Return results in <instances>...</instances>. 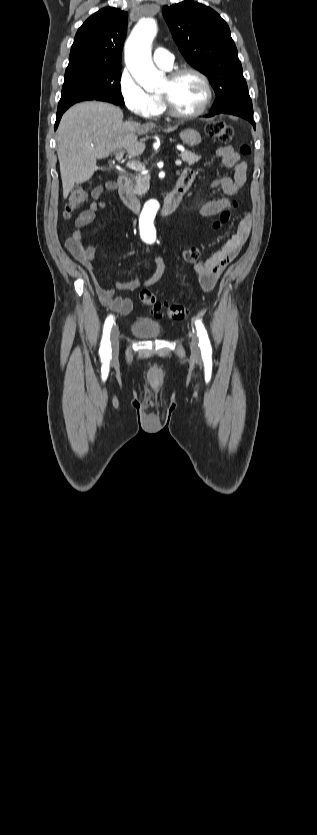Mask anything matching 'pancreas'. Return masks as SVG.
Here are the masks:
<instances>
[{
    "instance_id": "obj_1",
    "label": "pancreas",
    "mask_w": 317,
    "mask_h": 835,
    "mask_svg": "<svg viewBox=\"0 0 317 835\" xmlns=\"http://www.w3.org/2000/svg\"><path fill=\"white\" fill-rule=\"evenodd\" d=\"M179 156L188 165H193L201 159L200 155H197L189 150L181 152ZM149 186V176L147 175H138L135 178H132L131 184L129 186V192L132 199H136V195L142 196L143 194H145L149 189Z\"/></svg>"
}]
</instances>
